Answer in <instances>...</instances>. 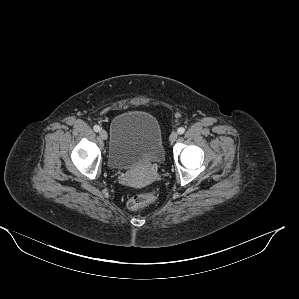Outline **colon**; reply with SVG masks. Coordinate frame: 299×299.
I'll use <instances>...</instances> for the list:
<instances>
[{
  "mask_svg": "<svg viewBox=\"0 0 299 299\" xmlns=\"http://www.w3.org/2000/svg\"><path fill=\"white\" fill-rule=\"evenodd\" d=\"M157 197L155 191L148 192L146 194H139L131 197L127 202V207L130 210H138L150 203H152Z\"/></svg>",
  "mask_w": 299,
  "mask_h": 299,
  "instance_id": "1",
  "label": "colon"
}]
</instances>
